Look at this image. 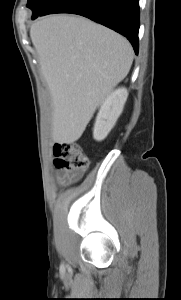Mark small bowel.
Here are the masks:
<instances>
[{"label": "small bowel", "instance_id": "small-bowel-1", "mask_svg": "<svg viewBox=\"0 0 181 300\" xmlns=\"http://www.w3.org/2000/svg\"><path fill=\"white\" fill-rule=\"evenodd\" d=\"M77 176H72L68 171L58 169L56 171V180L61 185H66L73 182Z\"/></svg>", "mask_w": 181, "mask_h": 300}]
</instances>
